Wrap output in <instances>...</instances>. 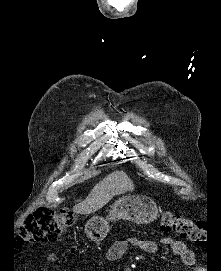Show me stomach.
<instances>
[{
	"label": "stomach",
	"instance_id": "1",
	"mask_svg": "<svg viewBox=\"0 0 221 271\" xmlns=\"http://www.w3.org/2000/svg\"><path fill=\"white\" fill-rule=\"evenodd\" d=\"M153 197H120L111 205L109 219H131L135 223H148L152 221L153 213H157V208ZM110 225L103 217H91L85 225V233L92 241H101L106 237Z\"/></svg>",
	"mask_w": 221,
	"mask_h": 271
}]
</instances>
